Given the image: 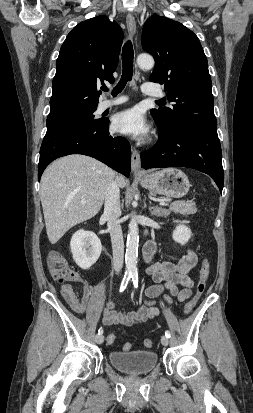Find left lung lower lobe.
Here are the masks:
<instances>
[{
	"instance_id": "left-lung-lower-lobe-1",
	"label": "left lung lower lobe",
	"mask_w": 253,
	"mask_h": 413,
	"mask_svg": "<svg viewBox=\"0 0 253 413\" xmlns=\"http://www.w3.org/2000/svg\"><path fill=\"white\" fill-rule=\"evenodd\" d=\"M141 166L144 169L193 168L210 175L219 190L223 189L222 152L217 130L190 125L170 137L159 136L151 150L141 153Z\"/></svg>"
}]
</instances>
